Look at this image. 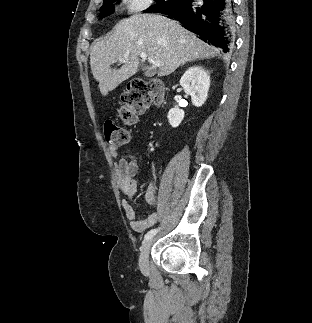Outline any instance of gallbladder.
I'll return each mask as SVG.
<instances>
[{
	"instance_id": "bac80fb5",
	"label": "gallbladder",
	"mask_w": 312,
	"mask_h": 323,
	"mask_svg": "<svg viewBox=\"0 0 312 323\" xmlns=\"http://www.w3.org/2000/svg\"><path fill=\"white\" fill-rule=\"evenodd\" d=\"M154 74V70H146L145 72V76H147V78H151V76H154Z\"/></svg>"
}]
</instances>
